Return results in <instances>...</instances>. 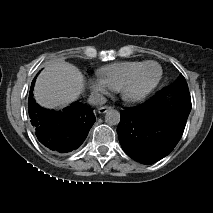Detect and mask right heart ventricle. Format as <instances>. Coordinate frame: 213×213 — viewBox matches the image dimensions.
<instances>
[{
  "instance_id": "e07e8e85",
  "label": "right heart ventricle",
  "mask_w": 213,
  "mask_h": 213,
  "mask_svg": "<svg viewBox=\"0 0 213 213\" xmlns=\"http://www.w3.org/2000/svg\"><path fill=\"white\" fill-rule=\"evenodd\" d=\"M142 63V61L116 62L100 68L98 74L106 81L111 90L117 91L124 80Z\"/></svg>"
}]
</instances>
